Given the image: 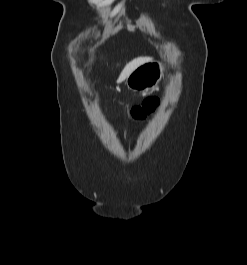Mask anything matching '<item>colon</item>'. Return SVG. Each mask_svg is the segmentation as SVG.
<instances>
[{"mask_svg": "<svg viewBox=\"0 0 247 265\" xmlns=\"http://www.w3.org/2000/svg\"><path fill=\"white\" fill-rule=\"evenodd\" d=\"M159 104V100L154 97L145 99L141 105L135 106L131 110V115L134 119H144L147 115L152 113Z\"/></svg>", "mask_w": 247, "mask_h": 265, "instance_id": "colon-1", "label": "colon"}]
</instances>
